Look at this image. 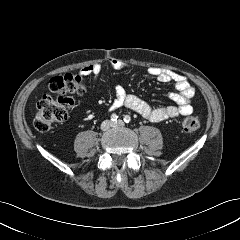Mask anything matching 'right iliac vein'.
<instances>
[{"label":"right iliac vein","instance_id":"1","mask_svg":"<svg viewBox=\"0 0 240 240\" xmlns=\"http://www.w3.org/2000/svg\"><path fill=\"white\" fill-rule=\"evenodd\" d=\"M111 126H112L111 121L106 120V121H104V122L102 123L101 129L104 130V131H106V130H108Z\"/></svg>","mask_w":240,"mask_h":240}]
</instances>
